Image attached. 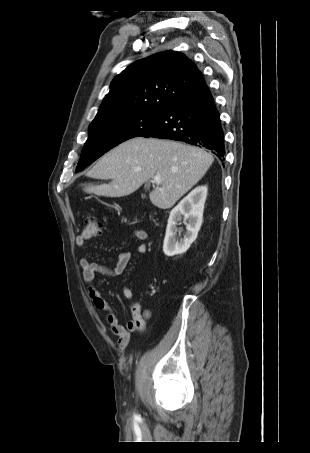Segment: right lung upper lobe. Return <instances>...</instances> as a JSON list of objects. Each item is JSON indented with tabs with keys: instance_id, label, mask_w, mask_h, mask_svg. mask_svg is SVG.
Wrapping results in <instances>:
<instances>
[{
	"instance_id": "cb5924a9",
	"label": "right lung upper lobe",
	"mask_w": 310,
	"mask_h": 453,
	"mask_svg": "<svg viewBox=\"0 0 310 453\" xmlns=\"http://www.w3.org/2000/svg\"><path fill=\"white\" fill-rule=\"evenodd\" d=\"M203 80L196 65L179 52L151 55L113 79L95 119L121 112L163 111Z\"/></svg>"
}]
</instances>
